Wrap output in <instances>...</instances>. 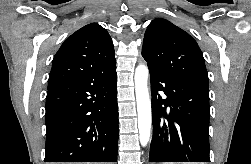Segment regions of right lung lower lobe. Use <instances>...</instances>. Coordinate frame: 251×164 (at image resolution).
Masks as SVG:
<instances>
[{
	"label": "right lung lower lobe",
	"instance_id": "right-lung-lower-lobe-1",
	"mask_svg": "<svg viewBox=\"0 0 251 164\" xmlns=\"http://www.w3.org/2000/svg\"><path fill=\"white\" fill-rule=\"evenodd\" d=\"M116 66L48 88L45 162H116Z\"/></svg>",
	"mask_w": 251,
	"mask_h": 164
}]
</instances>
